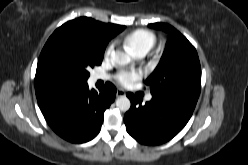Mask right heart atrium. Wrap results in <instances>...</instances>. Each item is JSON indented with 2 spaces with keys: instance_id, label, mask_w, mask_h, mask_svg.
<instances>
[{
  "instance_id": "right-heart-atrium-1",
  "label": "right heart atrium",
  "mask_w": 248,
  "mask_h": 165,
  "mask_svg": "<svg viewBox=\"0 0 248 165\" xmlns=\"http://www.w3.org/2000/svg\"><path fill=\"white\" fill-rule=\"evenodd\" d=\"M112 50H113V45L108 46V48L106 49L105 55L110 56Z\"/></svg>"
}]
</instances>
